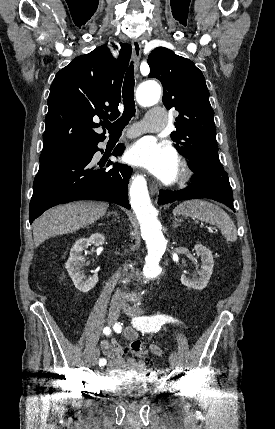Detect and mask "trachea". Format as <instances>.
Here are the masks:
<instances>
[{"instance_id":"3493384b","label":"trachea","mask_w":275,"mask_h":429,"mask_svg":"<svg viewBox=\"0 0 275 429\" xmlns=\"http://www.w3.org/2000/svg\"><path fill=\"white\" fill-rule=\"evenodd\" d=\"M134 67L131 64L126 72L122 97L124 103V112L122 116L115 122L111 123L106 121L103 123V126L108 129L110 133H119L122 132L124 127L129 123L131 118L135 115V103H134Z\"/></svg>"}]
</instances>
